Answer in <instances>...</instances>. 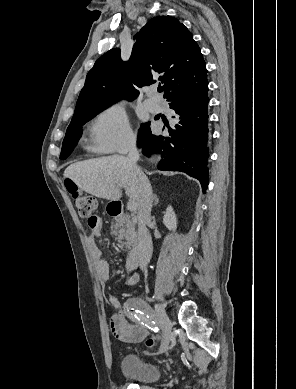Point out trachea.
I'll return each instance as SVG.
<instances>
[{
    "label": "trachea",
    "mask_w": 296,
    "mask_h": 389,
    "mask_svg": "<svg viewBox=\"0 0 296 389\" xmlns=\"http://www.w3.org/2000/svg\"><path fill=\"white\" fill-rule=\"evenodd\" d=\"M163 89L161 87H158V92H162Z\"/></svg>",
    "instance_id": "3493384b"
}]
</instances>
